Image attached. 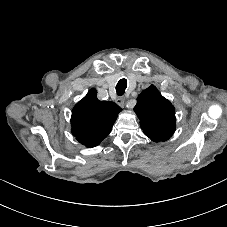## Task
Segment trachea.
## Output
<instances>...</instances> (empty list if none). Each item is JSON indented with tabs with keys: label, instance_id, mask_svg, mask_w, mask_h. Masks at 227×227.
I'll use <instances>...</instances> for the list:
<instances>
[{
	"label": "trachea",
	"instance_id": "3493384b",
	"mask_svg": "<svg viewBox=\"0 0 227 227\" xmlns=\"http://www.w3.org/2000/svg\"><path fill=\"white\" fill-rule=\"evenodd\" d=\"M126 88L127 80L125 78L120 79L116 85V94L122 96L125 93Z\"/></svg>",
	"mask_w": 227,
	"mask_h": 227
}]
</instances>
